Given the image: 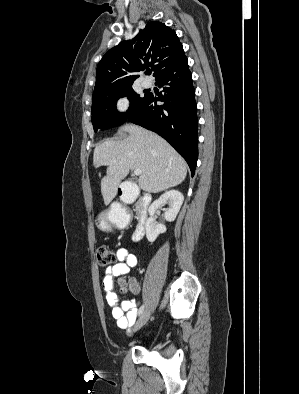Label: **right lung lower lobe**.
I'll use <instances>...</instances> for the list:
<instances>
[{
  "mask_svg": "<svg viewBox=\"0 0 299 394\" xmlns=\"http://www.w3.org/2000/svg\"><path fill=\"white\" fill-rule=\"evenodd\" d=\"M163 94H146L142 105L127 120L166 139L188 163L192 176L198 159L195 89L187 58L182 56L156 76ZM157 101L163 102L158 106Z\"/></svg>",
  "mask_w": 299,
  "mask_h": 394,
  "instance_id": "right-lung-lower-lobe-1",
  "label": "right lung lower lobe"
}]
</instances>
